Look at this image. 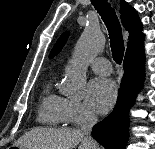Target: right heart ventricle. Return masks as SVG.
<instances>
[{
  "label": "right heart ventricle",
  "instance_id": "right-heart-ventricle-1",
  "mask_svg": "<svg viewBox=\"0 0 155 149\" xmlns=\"http://www.w3.org/2000/svg\"><path fill=\"white\" fill-rule=\"evenodd\" d=\"M65 98L56 94L49 83L42 94L37 119L42 124L58 126L65 123Z\"/></svg>",
  "mask_w": 155,
  "mask_h": 149
}]
</instances>
